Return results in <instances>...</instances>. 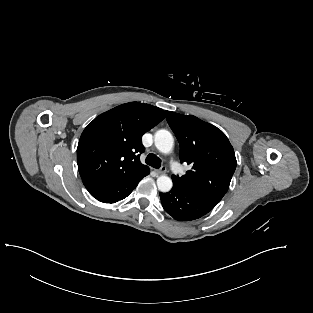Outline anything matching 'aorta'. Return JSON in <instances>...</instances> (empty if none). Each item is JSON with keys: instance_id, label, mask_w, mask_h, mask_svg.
<instances>
[{"instance_id": "aorta-1", "label": "aorta", "mask_w": 313, "mask_h": 313, "mask_svg": "<svg viewBox=\"0 0 313 313\" xmlns=\"http://www.w3.org/2000/svg\"><path fill=\"white\" fill-rule=\"evenodd\" d=\"M154 143L161 153L168 154L173 149L174 139L169 131L161 129L155 133ZM157 186L161 192L165 193L171 190L173 183L168 176H160L157 178Z\"/></svg>"}]
</instances>
